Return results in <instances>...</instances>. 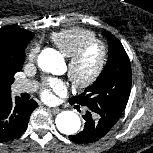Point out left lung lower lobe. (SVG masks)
<instances>
[{
	"label": "left lung lower lobe",
	"instance_id": "obj_1",
	"mask_svg": "<svg viewBox=\"0 0 153 153\" xmlns=\"http://www.w3.org/2000/svg\"><path fill=\"white\" fill-rule=\"evenodd\" d=\"M70 103L73 104L71 101ZM83 118L85 120L83 131L76 135L69 136V139L75 143L85 144L95 142L105 136L114 126L104 118L98 117L90 110L86 111Z\"/></svg>",
	"mask_w": 153,
	"mask_h": 153
}]
</instances>
